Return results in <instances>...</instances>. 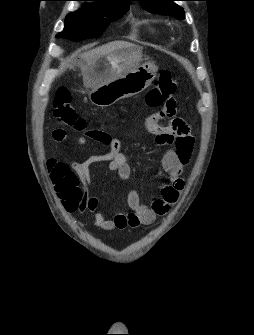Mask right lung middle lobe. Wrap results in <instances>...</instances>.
<instances>
[{
	"label": "right lung middle lobe",
	"instance_id": "right-lung-middle-lobe-1",
	"mask_svg": "<svg viewBox=\"0 0 254 335\" xmlns=\"http://www.w3.org/2000/svg\"><path fill=\"white\" fill-rule=\"evenodd\" d=\"M128 9L129 5H84L83 9L67 15L64 30L56 37L72 40L98 37L111 21Z\"/></svg>",
	"mask_w": 254,
	"mask_h": 335
}]
</instances>
